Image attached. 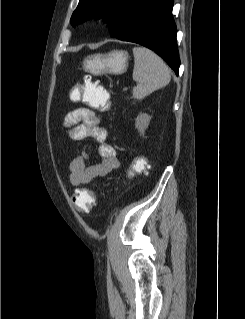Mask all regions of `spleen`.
I'll list each match as a JSON object with an SVG mask.
<instances>
[{
    "label": "spleen",
    "instance_id": "1",
    "mask_svg": "<svg viewBox=\"0 0 245 319\" xmlns=\"http://www.w3.org/2000/svg\"><path fill=\"white\" fill-rule=\"evenodd\" d=\"M133 97L141 100L154 91L168 85L171 79L170 69L153 51L146 47H134Z\"/></svg>",
    "mask_w": 245,
    "mask_h": 319
}]
</instances>
